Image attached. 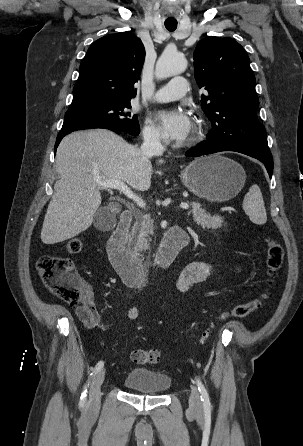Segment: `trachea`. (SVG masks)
Wrapping results in <instances>:
<instances>
[{"label":"trachea","instance_id":"3493384b","mask_svg":"<svg viewBox=\"0 0 303 446\" xmlns=\"http://www.w3.org/2000/svg\"><path fill=\"white\" fill-rule=\"evenodd\" d=\"M165 27L168 31H174L177 28V21H165Z\"/></svg>","mask_w":303,"mask_h":446}]
</instances>
